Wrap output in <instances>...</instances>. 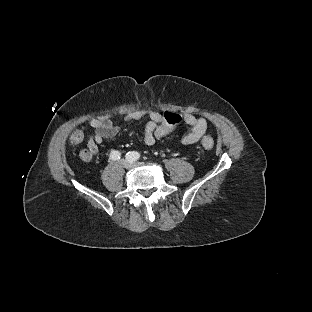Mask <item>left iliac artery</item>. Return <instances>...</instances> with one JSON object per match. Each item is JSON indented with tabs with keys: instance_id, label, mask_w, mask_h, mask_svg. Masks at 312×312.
<instances>
[{
	"instance_id": "obj_1",
	"label": "left iliac artery",
	"mask_w": 312,
	"mask_h": 312,
	"mask_svg": "<svg viewBox=\"0 0 312 312\" xmlns=\"http://www.w3.org/2000/svg\"><path fill=\"white\" fill-rule=\"evenodd\" d=\"M126 155L128 158H131L134 161L140 157V154L138 152H128Z\"/></svg>"
}]
</instances>
